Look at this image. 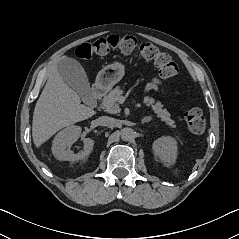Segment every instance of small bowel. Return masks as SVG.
<instances>
[{
	"instance_id": "c3829d8e",
	"label": "small bowel",
	"mask_w": 239,
	"mask_h": 239,
	"mask_svg": "<svg viewBox=\"0 0 239 239\" xmlns=\"http://www.w3.org/2000/svg\"><path fill=\"white\" fill-rule=\"evenodd\" d=\"M162 92L164 93L163 82L160 78L154 77L146 86L145 92Z\"/></svg>"
}]
</instances>
